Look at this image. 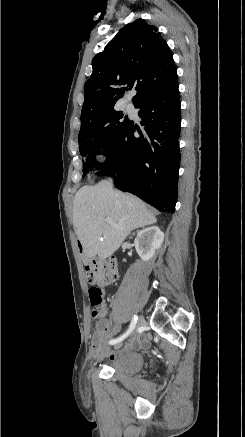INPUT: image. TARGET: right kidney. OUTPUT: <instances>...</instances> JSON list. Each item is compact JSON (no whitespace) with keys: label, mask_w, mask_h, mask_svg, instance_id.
<instances>
[{"label":"right kidney","mask_w":245,"mask_h":437,"mask_svg":"<svg viewBox=\"0 0 245 437\" xmlns=\"http://www.w3.org/2000/svg\"><path fill=\"white\" fill-rule=\"evenodd\" d=\"M164 233L157 226H151L138 232L135 238V249L143 261L150 260L156 249L160 248Z\"/></svg>","instance_id":"right-kidney-1"}]
</instances>
